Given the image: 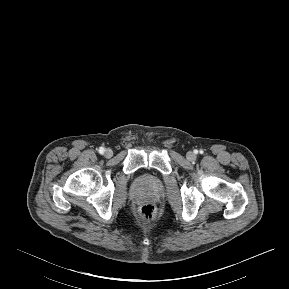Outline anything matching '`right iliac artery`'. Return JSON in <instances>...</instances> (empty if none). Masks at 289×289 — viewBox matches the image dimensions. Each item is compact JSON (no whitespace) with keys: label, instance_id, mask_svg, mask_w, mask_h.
Wrapping results in <instances>:
<instances>
[{"label":"right iliac artery","instance_id":"82829eb1","mask_svg":"<svg viewBox=\"0 0 289 289\" xmlns=\"http://www.w3.org/2000/svg\"><path fill=\"white\" fill-rule=\"evenodd\" d=\"M103 152H104V148H103V147H100V148H99V153L102 154Z\"/></svg>","mask_w":289,"mask_h":289}]
</instances>
